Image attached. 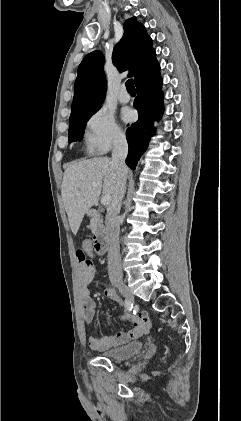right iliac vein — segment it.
Here are the masks:
<instances>
[{
    "mask_svg": "<svg viewBox=\"0 0 241 421\" xmlns=\"http://www.w3.org/2000/svg\"><path fill=\"white\" fill-rule=\"evenodd\" d=\"M113 285L120 291V293L128 300L130 303H134V296L131 290L126 286V284L120 280H113Z\"/></svg>",
    "mask_w": 241,
    "mask_h": 421,
    "instance_id": "1",
    "label": "right iliac vein"
}]
</instances>
